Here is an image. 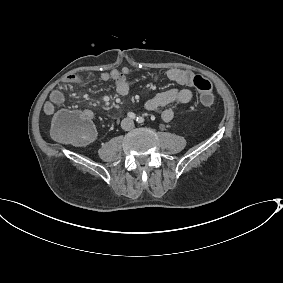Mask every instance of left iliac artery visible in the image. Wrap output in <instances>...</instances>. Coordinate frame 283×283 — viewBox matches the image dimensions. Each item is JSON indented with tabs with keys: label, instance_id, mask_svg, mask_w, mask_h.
<instances>
[{
	"label": "left iliac artery",
	"instance_id": "44dca946",
	"mask_svg": "<svg viewBox=\"0 0 283 283\" xmlns=\"http://www.w3.org/2000/svg\"><path fill=\"white\" fill-rule=\"evenodd\" d=\"M136 121L137 123H143L144 119L142 117H137Z\"/></svg>",
	"mask_w": 283,
	"mask_h": 283
}]
</instances>
